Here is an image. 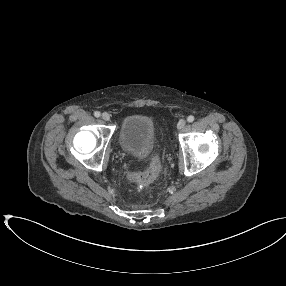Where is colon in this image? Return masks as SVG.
Returning <instances> with one entry per match:
<instances>
[{"label":"colon","instance_id":"obj_1","mask_svg":"<svg viewBox=\"0 0 286 286\" xmlns=\"http://www.w3.org/2000/svg\"><path fill=\"white\" fill-rule=\"evenodd\" d=\"M161 168V159L159 155H155L146 170L141 172H131L129 174V179L140 184H149L158 177L161 172Z\"/></svg>","mask_w":286,"mask_h":286}]
</instances>
